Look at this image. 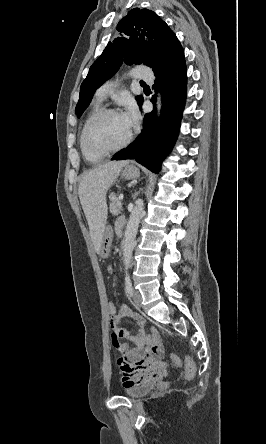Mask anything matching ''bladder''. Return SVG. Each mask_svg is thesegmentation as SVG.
<instances>
[{
  "label": "bladder",
  "instance_id": "bladder-1",
  "mask_svg": "<svg viewBox=\"0 0 266 444\" xmlns=\"http://www.w3.org/2000/svg\"><path fill=\"white\" fill-rule=\"evenodd\" d=\"M155 386L153 384H143L126 389L125 394L133 399H139L149 394Z\"/></svg>",
  "mask_w": 266,
  "mask_h": 444
}]
</instances>
